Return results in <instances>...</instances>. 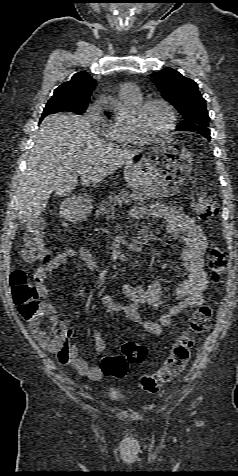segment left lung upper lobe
I'll use <instances>...</instances> for the list:
<instances>
[{
    "label": "left lung upper lobe",
    "instance_id": "left-lung-upper-lobe-1",
    "mask_svg": "<svg viewBox=\"0 0 238 476\" xmlns=\"http://www.w3.org/2000/svg\"><path fill=\"white\" fill-rule=\"evenodd\" d=\"M162 97L169 101L182 115L183 121L177 131H210L205 99L193 80L184 77L172 68H165L150 75Z\"/></svg>",
    "mask_w": 238,
    "mask_h": 476
}]
</instances>
